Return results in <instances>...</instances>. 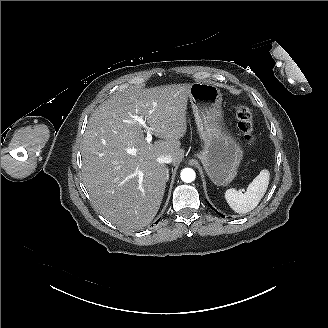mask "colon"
I'll return each mask as SVG.
<instances>
[{"instance_id": "obj_1", "label": "colon", "mask_w": 328, "mask_h": 328, "mask_svg": "<svg viewBox=\"0 0 328 328\" xmlns=\"http://www.w3.org/2000/svg\"><path fill=\"white\" fill-rule=\"evenodd\" d=\"M236 118L238 128L243 134L244 139L248 144L254 145L256 139L254 135V122L251 110L247 106H239L236 111Z\"/></svg>"}]
</instances>
